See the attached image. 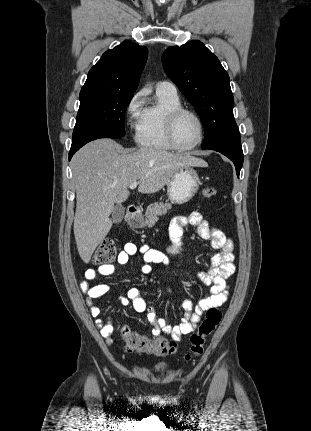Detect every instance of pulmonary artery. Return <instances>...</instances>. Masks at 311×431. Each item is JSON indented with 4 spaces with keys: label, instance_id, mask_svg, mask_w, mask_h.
Returning <instances> with one entry per match:
<instances>
[{
    "label": "pulmonary artery",
    "instance_id": "e3ab8cb5",
    "mask_svg": "<svg viewBox=\"0 0 311 431\" xmlns=\"http://www.w3.org/2000/svg\"><path fill=\"white\" fill-rule=\"evenodd\" d=\"M156 89L159 92L168 94H177V89L175 85L169 81H160L156 85Z\"/></svg>",
    "mask_w": 311,
    "mask_h": 431
}]
</instances>
